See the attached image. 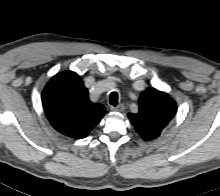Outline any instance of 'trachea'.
Returning a JSON list of instances; mask_svg holds the SVG:
<instances>
[{
    "label": "trachea",
    "mask_w": 220,
    "mask_h": 196,
    "mask_svg": "<svg viewBox=\"0 0 220 196\" xmlns=\"http://www.w3.org/2000/svg\"><path fill=\"white\" fill-rule=\"evenodd\" d=\"M109 103L113 106H116L118 104V93L117 92L110 93Z\"/></svg>",
    "instance_id": "obj_1"
}]
</instances>
